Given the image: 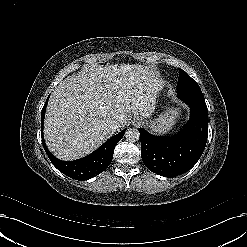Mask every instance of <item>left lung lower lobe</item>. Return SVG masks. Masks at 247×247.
Instances as JSON below:
<instances>
[{
    "mask_svg": "<svg viewBox=\"0 0 247 247\" xmlns=\"http://www.w3.org/2000/svg\"><path fill=\"white\" fill-rule=\"evenodd\" d=\"M177 94L191 109L190 120L182 131L162 137L139 129L144 165L164 177L189 171L201 157L208 137V110L199 85L177 89Z\"/></svg>",
    "mask_w": 247,
    "mask_h": 247,
    "instance_id": "left-lung-lower-lobe-1",
    "label": "left lung lower lobe"
}]
</instances>
